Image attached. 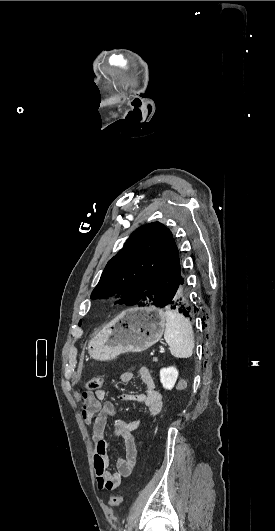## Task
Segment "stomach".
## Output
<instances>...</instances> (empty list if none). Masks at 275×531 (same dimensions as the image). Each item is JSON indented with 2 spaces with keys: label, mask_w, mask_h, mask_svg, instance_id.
<instances>
[{
  "label": "stomach",
  "mask_w": 275,
  "mask_h": 531,
  "mask_svg": "<svg viewBox=\"0 0 275 531\" xmlns=\"http://www.w3.org/2000/svg\"><path fill=\"white\" fill-rule=\"evenodd\" d=\"M165 325L163 309H127L89 341L88 353L95 361H112L121 353H142L160 341Z\"/></svg>",
  "instance_id": "1"
}]
</instances>
